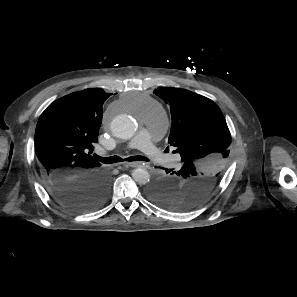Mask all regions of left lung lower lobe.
<instances>
[{"label": "left lung lower lobe", "instance_id": "left-lung-lower-lobe-1", "mask_svg": "<svg viewBox=\"0 0 297 297\" xmlns=\"http://www.w3.org/2000/svg\"><path fill=\"white\" fill-rule=\"evenodd\" d=\"M165 171H166V173H167V174H170V173L176 172V171H172V170H169V169H166ZM176 173H177V172H176Z\"/></svg>", "mask_w": 297, "mask_h": 297}]
</instances>
